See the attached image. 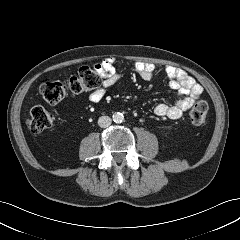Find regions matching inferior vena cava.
<instances>
[{"label":"inferior vena cava","mask_w":240,"mask_h":240,"mask_svg":"<svg viewBox=\"0 0 240 240\" xmlns=\"http://www.w3.org/2000/svg\"><path fill=\"white\" fill-rule=\"evenodd\" d=\"M112 123V120L110 117L108 116H101L99 117L98 119V125L101 127V128H106L108 126H110Z\"/></svg>","instance_id":"1"}]
</instances>
